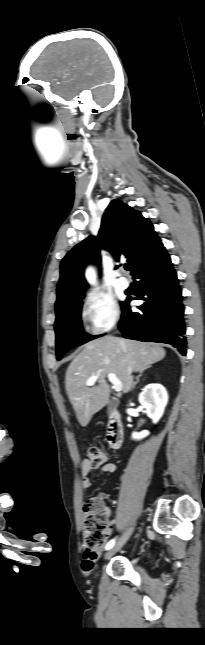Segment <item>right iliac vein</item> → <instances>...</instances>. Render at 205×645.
Instances as JSON below:
<instances>
[{
	"mask_svg": "<svg viewBox=\"0 0 205 645\" xmlns=\"http://www.w3.org/2000/svg\"><path fill=\"white\" fill-rule=\"evenodd\" d=\"M133 529L128 530L122 537L105 553L104 558L109 559L116 554L130 538Z\"/></svg>",
	"mask_w": 205,
	"mask_h": 645,
	"instance_id": "obj_1",
	"label": "right iliac vein"
}]
</instances>
